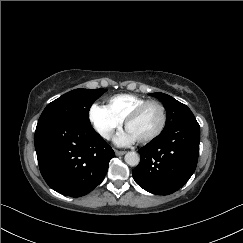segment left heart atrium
<instances>
[{"mask_svg":"<svg viewBox=\"0 0 243 243\" xmlns=\"http://www.w3.org/2000/svg\"><path fill=\"white\" fill-rule=\"evenodd\" d=\"M135 141V138L128 130L118 133L114 138V142L118 146H127L134 143Z\"/></svg>","mask_w":243,"mask_h":243,"instance_id":"left-heart-atrium-1","label":"left heart atrium"}]
</instances>
